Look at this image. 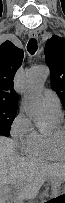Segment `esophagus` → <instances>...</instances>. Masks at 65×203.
I'll return each instance as SVG.
<instances>
[{
  "label": "esophagus",
  "instance_id": "obj_1",
  "mask_svg": "<svg viewBox=\"0 0 65 203\" xmlns=\"http://www.w3.org/2000/svg\"><path fill=\"white\" fill-rule=\"evenodd\" d=\"M29 37H30L31 39H37V38H38V34H37L36 31H30Z\"/></svg>",
  "mask_w": 65,
  "mask_h": 203
}]
</instances>
